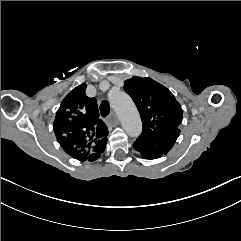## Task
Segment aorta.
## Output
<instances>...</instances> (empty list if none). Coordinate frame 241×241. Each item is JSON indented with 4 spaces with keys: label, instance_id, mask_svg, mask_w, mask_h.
I'll return each instance as SVG.
<instances>
[{
    "label": "aorta",
    "instance_id": "aorta-1",
    "mask_svg": "<svg viewBox=\"0 0 241 241\" xmlns=\"http://www.w3.org/2000/svg\"><path fill=\"white\" fill-rule=\"evenodd\" d=\"M109 100L125 132L131 137L139 136L142 131V122L130 96L124 92L118 91L110 94Z\"/></svg>",
    "mask_w": 241,
    "mask_h": 241
}]
</instances>
